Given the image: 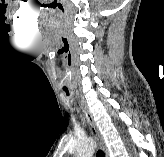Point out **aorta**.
Here are the masks:
<instances>
[{
  "instance_id": "aorta-1",
  "label": "aorta",
  "mask_w": 164,
  "mask_h": 157,
  "mask_svg": "<svg viewBox=\"0 0 164 157\" xmlns=\"http://www.w3.org/2000/svg\"><path fill=\"white\" fill-rule=\"evenodd\" d=\"M96 148V143L92 140H87L80 143L77 148L76 157H92Z\"/></svg>"
}]
</instances>
